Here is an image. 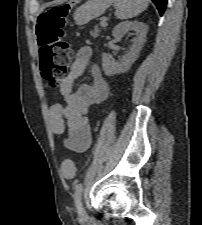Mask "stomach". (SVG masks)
I'll return each instance as SVG.
<instances>
[{
  "label": "stomach",
  "instance_id": "0dacf381",
  "mask_svg": "<svg viewBox=\"0 0 202 225\" xmlns=\"http://www.w3.org/2000/svg\"><path fill=\"white\" fill-rule=\"evenodd\" d=\"M114 0H88L86 3L78 7L73 19L79 26L85 25L92 19L101 16Z\"/></svg>",
  "mask_w": 202,
  "mask_h": 225
}]
</instances>
